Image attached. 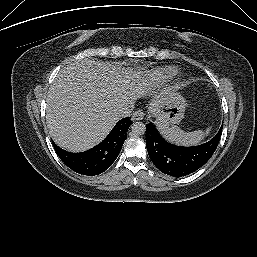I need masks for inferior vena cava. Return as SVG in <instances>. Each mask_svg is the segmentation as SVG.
<instances>
[{"instance_id": "602c4592", "label": "inferior vena cava", "mask_w": 257, "mask_h": 257, "mask_svg": "<svg viewBox=\"0 0 257 257\" xmlns=\"http://www.w3.org/2000/svg\"><path fill=\"white\" fill-rule=\"evenodd\" d=\"M133 107H134L133 103H126L118 108L116 114L119 118H126L131 115Z\"/></svg>"}]
</instances>
